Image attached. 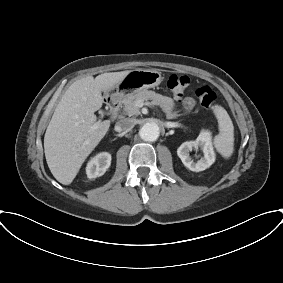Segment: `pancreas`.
<instances>
[{"mask_svg":"<svg viewBox=\"0 0 283 283\" xmlns=\"http://www.w3.org/2000/svg\"><path fill=\"white\" fill-rule=\"evenodd\" d=\"M152 100V102L156 105H160L162 110L166 113L167 118L174 119L179 117L180 115L173 111L175 107L174 100L167 96H162L154 91L142 90L137 93L127 94L122 103L124 105L125 114L128 116H138L140 114L138 102Z\"/></svg>","mask_w":283,"mask_h":283,"instance_id":"cf45deb5","label":"pancreas"}]
</instances>
